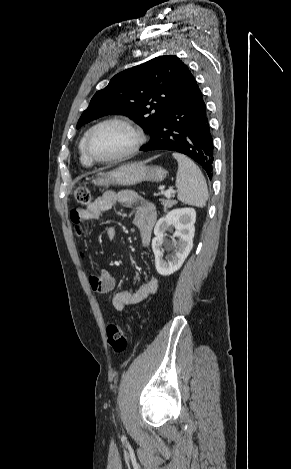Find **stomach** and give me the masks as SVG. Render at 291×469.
Wrapping results in <instances>:
<instances>
[{"label": "stomach", "mask_w": 291, "mask_h": 469, "mask_svg": "<svg viewBox=\"0 0 291 469\" xmlns=\"http://www.w3.org/2000/svg\"><path fill=\"white\" fill-rule=\"evenodd\" d=\"M167 175V171L159 166H147L142 162H133L122 165L115 170L101 173L93 183L98 186L116 184L133 186L143 181L160 182Z\"/></svg>", "instance_id": "1"}]
</instances>
